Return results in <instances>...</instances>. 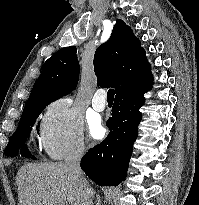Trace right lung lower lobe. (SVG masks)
I'll return each instance as SVG.
<instances>
[{"label":"right lung lower lobe","mask_w":199,"mask_h":205,"mask_svg":"<svg viewBox=\"0 0 199 205\" xmlns=\"http://www.w3.org/2000/svg\"><path fill=\"white\" fill-rule=\"evenodd\" d=\"M152 84L149 72L116 93L112 116L107 121L110 133L81 159L82 170L98 185L116 186L125 180L142 119L139 109L145 102L144 93L152 89Z\"/></svg>","instance_id":"98d812e1"}]
</instances>
